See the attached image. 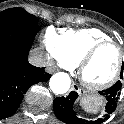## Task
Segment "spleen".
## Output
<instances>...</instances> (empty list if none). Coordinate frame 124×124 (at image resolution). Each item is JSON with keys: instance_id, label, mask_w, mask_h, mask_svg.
<instances>
[{"instance_id": "1", "label": "spleen", "mask_w": 124, "mask_h": 124, "mask_svg": "<svg viewBox=\"0 0 124 124\" xmlns=\"http://www.w3.org/2000/svg\"><path fill=\"white\" fill-rule=\"evenodd\" d=\"M95 107H93V103L88 100V99H84L83 100V107L87 110V111H93L95 112L97 109V105L94 103Z\"/></svg>"}]
</instances>
